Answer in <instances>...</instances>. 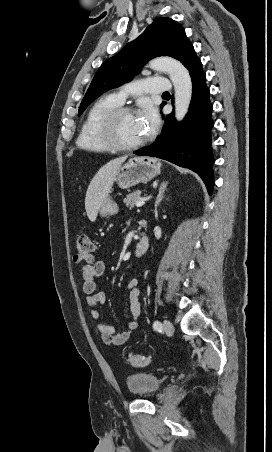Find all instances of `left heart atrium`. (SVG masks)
Listing matches in <instances>:
<instances>
[{
	"mask_svg": "<svg viewBox=\"0 0 272 452\" xmlns=\"http://www.w3.org/2000/svg\"><path fill=\"white\" fill-rule=\"evenodd\" d=\"M159 118L156 110L151 106L143 109L141 125L145 135L151 134L158 126Z\"/></svg>",
	"mask_w": 272,
	"mask_h": 452,
	"instance_id": "39dd6f15",
	"label": "left heart atrium"
}]
</instances>
